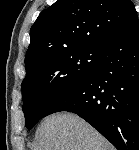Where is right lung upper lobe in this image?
<instances>
[{"label": "right lung upper lobe", "instance_id": "obj_1", "mask_svg": "<svg viewBox=\"0 0 139 150\" xmlns=\"http://www.w3.org/2000/svg\"><path fill=\"white\" fill-rule=\"evenodd\" d=\"M135 15L131 0H57L30 29L26 75L56 55L105 48Z\"/></svg>", "mask_w": 139, "mask_h": 150}]
</instances>
